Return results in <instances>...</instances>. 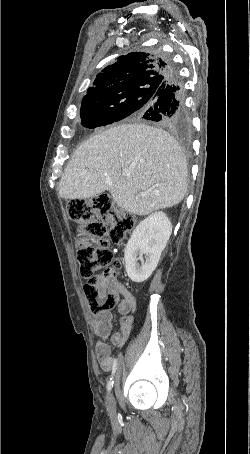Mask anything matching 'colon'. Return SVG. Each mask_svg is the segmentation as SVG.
<instances>
[{"instance_id": "1", "label": "colon", "mask_w": 250, "mask_h": 454, "mask_svg": "<svg viewBox=\"0 0 250 454\" xmlns=\"http://www.w3.org/2000/svg\"><path fill=\"white\" fill-rule=\"evenodd\" d=\"M67 211L78 225L77 260L81 276L86 279L84 292L89 308L95 314L110 311L118 302L121 261L114 257L109 245L125 238L135 225L134 218L117 209L106 193L72 200Z\"/></svg>"}]
</instances>
